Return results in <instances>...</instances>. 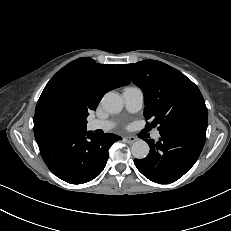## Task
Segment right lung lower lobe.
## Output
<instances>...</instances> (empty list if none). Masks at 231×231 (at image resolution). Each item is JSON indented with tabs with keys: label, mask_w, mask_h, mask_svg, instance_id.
Masks as SVG:
<instances>
[{
	"label": "right lung lower lobe",
	"mask_w": 231,
	"mask_h": 231,
	"mask_svg": "<svg viewBox=\"0 0 231 231\" xmlns=\"http://www.w3.org/2000/svg\"><path fill=\"white\" fill-rule=\"evenodd\" d=\"M122 138L92 131L53 134L37 141L41 156L50 171L63 181L83 184L96 178L108 160L110 146Z\"/></svg>",
	"instance_id": "right-lung-lower-lobe-1"
}]
</instances>
